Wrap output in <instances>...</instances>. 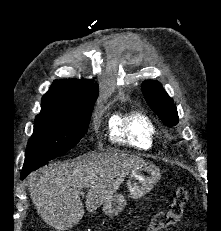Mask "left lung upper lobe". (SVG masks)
<instances>
[{"label": "left lung upper lobe", "instance_id": "left-lung-upper-lobe-1", "mask_svg": "<svg viewBox=\"0 0 221 231\" xmlns=\"http://www.w3.org/2000/svg\"><path fill=\"white\" fill-rule=\"evenodd\" d=\"M142 92L150 108L167 126L178 124L176 106L159 82L144 81Z\"/></svg>", "mask_w": 221, "mask_h": 231}]
</instances>
